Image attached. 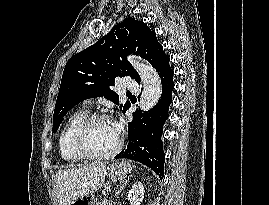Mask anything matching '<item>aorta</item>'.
Masks as SVG:
<instances>
[{"label":"aorta","instance_id":"aorta-1","mask_svg":"<svg viewBox=\"0 0 269 205\" xmlns=\"http://www.w3.org/2000/svg\"><path fill=\"white\" fill-rule=\"evenodd\" d=\"M128 60L138 72L143 84L139 107L142 111L152 109L159 101L162 94V83L157 71L139 57H129Z\"/></svg>","mask_w":269,"mask_h":205}]
</instances>
